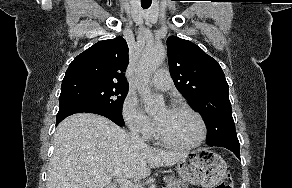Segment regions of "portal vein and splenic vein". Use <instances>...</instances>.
<instances>
[{
  "label": "portal vein and splenic vein",
  "instance_id": "portal-vein-and-splenic-vein-1",
  "mask_svg": "<svg viewBox=\"0 0 292 188\" xmlns=\"http://www.w3.org/2000/svg\"><path fill=\"white\" fill-rule=\"evenodd\" d=\"M96 173L95 171H92L91 174ZM118 182V184H120L121 188H139L138 185H135L134 183H132L131 181L127 180V179H121V178H117L116 180ZM167 188V187H165Z\"/></svg>",
  "mask_w": 292,
  "mask_h": 188
}]
</instances>
